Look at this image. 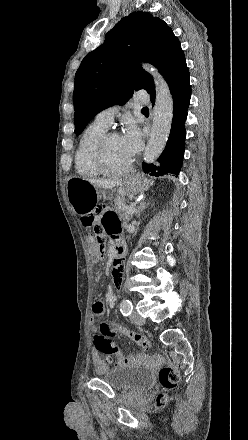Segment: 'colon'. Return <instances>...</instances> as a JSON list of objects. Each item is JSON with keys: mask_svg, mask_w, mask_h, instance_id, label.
Returning a JSON list of instances; mask_svg holds the SVG:
<instances>
[{"mask_svg": "<svg viewBox=\"0 0 248 440\" xmlns=\"http://www.w3.org/2000/svg\"><path fill=\"white\" fill-rule=\"evenodd\" d=\"M102 216V208L99 206H94L82 217L84 225L92 228L89 237L91 243L92 257L95 261L103 255L105 248V228L102 223ZM111 335H121L123 337H126L136 344L140 345L144 349H149L151 347V342L145 335L122 326L103 323L101 325L100 333L95 335L94 343L98 351L114 358L116 363H122L124 361V357L119 346L111 339H109V336ZM159 381L164 389H174L179 383L178 369L171 363L163 366L159 370ZM166 402L167 397L165 394L161 393L157 396V406L161 407L165 405Z\"/></svg>", "mask_w": 248, "mask_h": 440, "instance_id": "obj_1", "label": "colon"}]
</instances>
